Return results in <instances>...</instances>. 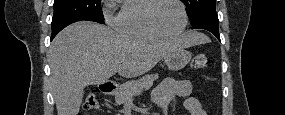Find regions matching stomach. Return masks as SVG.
I'll return each mask as SVG.
<instances>
[{
	"mask_svg": "<svg viewBox=\"0 0 285 115\" xmlns=\"http://www.w3.org/2000/svg\"><path fill=\"white\" fill-rule=\"evenodd\" d=\"M191 60V53L184 48L177 49L164 57V63L170 70H180Z\"/></svg>",
	"mask_w": 285,
	"mask_h": 115,
	"instance_id": "stomach-1",
	"label": "stomach"
}]
</instances>
